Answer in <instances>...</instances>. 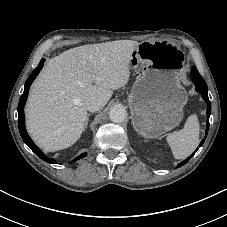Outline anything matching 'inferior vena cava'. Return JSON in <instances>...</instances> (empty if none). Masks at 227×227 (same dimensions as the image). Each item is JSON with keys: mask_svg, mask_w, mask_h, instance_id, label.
I'll return each mask as SVG.
<instances>
[{"mask_svg": "<svg viewBox=\"0 0 227 227\" xmlns=\"http://www.w3.org/2000/svg\"><path fill=\"white\" fill-rule=\"evenodd\" d=\"M86 109L90 112H95L104 106L103 100L100 98H90L85 103Z\"/></svg>", "mask_w": 227, "mask_h": 227, "instance_id": "602c4592", "label": "inferior vena cava"}]
</instances>
